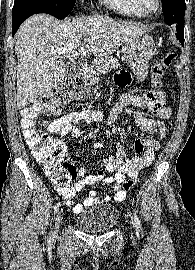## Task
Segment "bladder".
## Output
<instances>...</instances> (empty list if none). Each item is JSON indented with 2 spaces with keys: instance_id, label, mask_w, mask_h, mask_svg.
<instances>
[{
  "instance_id": "obj_1",
  "label": "bladder",
  "mask_w": 195,
  "mask_h": 270,
  "mask_svg": "<svg viewBox=\"0 0 195 270\" xmlns=\"http://www.w3.org/2000/svg\"><path fill=\"white\" fill-rule=\"evenodd\" d=\"M119 211L110 204L82 210L75 220L76 226L90 234H100L112 229L118 222Z\"/></svg>"
}]
</instances>
